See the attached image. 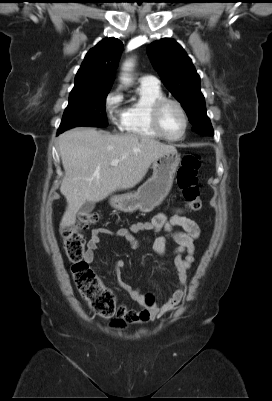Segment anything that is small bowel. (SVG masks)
<instances>
[{
  "label": "small bowel",
  "mask_w": 272,
  "mask_h": 401,
  "mask_svg": "<svg viewBox=\"0 0 272 401\" xmlns=\"http://www.w3.org/2000/svg\"><path fill=\"white\" fill-rule=\"evenodd\" d=\"M179 227L180 229H176ZM144 232H154L153 249L160 256L167 254V239H171L176 247L172 250L173 268L177 277V285L171 296L160 306L146 304L139 289L132 287L121 278V272L125 267L123 260H117L113 266V272L118 284L130 295L140 309H128L121 306L122 314L115 320L116 327H122L125 323H145L174 309L184 298L187 283V271L194 261L195 240L200 235L198 224L181 209H173L168 216L165 212L157 213L151 220L133 223L128 227H120L111 230L104 227L94 228L87 244L84 259L92 263L102 235L116 236L125 239L131 247H138L140 241L137 235Z\"/></svg>",
  "instance_id": "1"
}]
</instances>
